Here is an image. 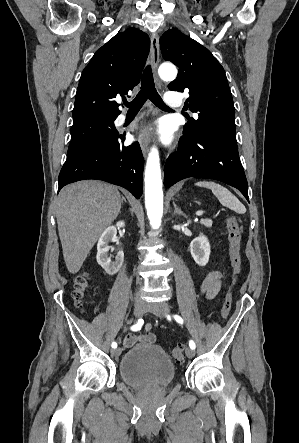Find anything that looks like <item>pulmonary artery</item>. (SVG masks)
<instances>
[{
  "label": "pulmonary artery",
  "mask_w": 299,
  "mask_h": 443,
  "mask_svg": "<svg viewBox=\"0 0 299 443\" xmlns=\"http://www.w3.org/2000/svg\"><path fill=\"white\" fill-rule=\"evenodd\" d=\"M164 101L168 106L172 108H178L182 105L181 95L175 92L165 93Z\"/></svg>",
  "instance_id": "1"
}]
</instances>
